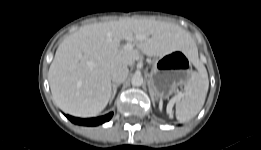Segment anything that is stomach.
Returning <instances> with one entry per match:
<instances>
[{
    "instance_id": "1",
    "label": "stomach",
    "mask_w": 261,
    "mask_h": 150,
    "mask_svg": "<svg viewBox=\"0 0 261 150\" xmlns=\"http://www.w3.org/2000/svg\"><path fill=\"white\" fill-rule=\"evenodd\" d=\"M191 75V58L183 51H173L157 58L152 66L149 89L152 96L166 98Z\"/></svg>"
}]
</instances>
